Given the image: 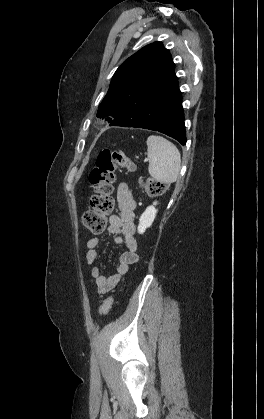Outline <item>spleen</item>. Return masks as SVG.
I'll use <instances>...</instances> for the list:
<instances>
[{"instance_id": "3e777b00", "label": "spleen", "mask_w": 264, "mask_h": 419, "mask_svg": "<svg viewBox=\"0 0 264 419\" xmlns=\"http://www.w3.org/2000/svg\"><path fill=\"white\" fill-rule=\"evenodd\" d=\"M149 174L157 181L173 183L181 168V155L177 147L162 136L147 138Z\"/></svg>"}]
</instances>
